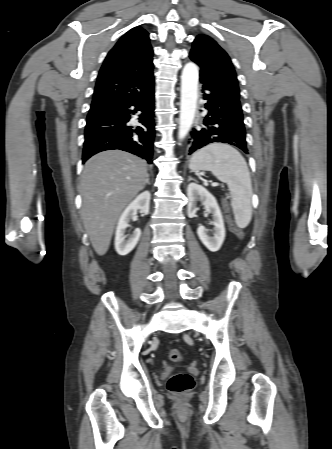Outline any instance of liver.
<instances>
[{
  "instance_id": "obj_1",
  "label": "liver",
  "mask_w": 332,
  "mask_h": 449,
  "mask_svg": "<svg viewBox=\"0 0 332 449\" xmlns=\"http://www.w3.org/2000/svg\"><path fill=\"white\" fill-rule=\"evenodd\" d=\"M147 177L145 161L120 150L98 153L85 163L81 218L98 255L108 251L120 214L144 188Z\"/></svg>"
}]
</instances>
